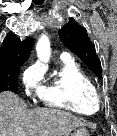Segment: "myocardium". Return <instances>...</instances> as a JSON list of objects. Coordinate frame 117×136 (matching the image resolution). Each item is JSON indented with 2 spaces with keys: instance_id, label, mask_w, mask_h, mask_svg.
Instances as JSON below:
<instances>
[{
  "instance_id": "myocardium-1",
  "label": "myocardium",
  "mask_w": 117,
  "mask_h": 136,
  "mask_svg": "<svg viewBox=\"0 0 117 136\" xmlns=\"http://www.w3.org/2000/svg\"><path fill=\"white\" fill-rule=\"evenodd\" d=\"M91 99L97 104H99L101 101V95L96 88H94V90L91 93Z\"/></svg>"
}]
</instances>
